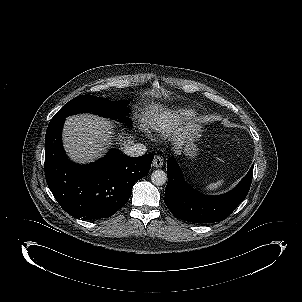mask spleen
Returning <instances> with one entry per match:
<instances>
[{
    "mask_svg": "<svg viewBox=\"0 0 302 302\" xmlns=\"http://www.w3.org/2000/svg\"><path fill=\"white\" fill-rule=\"evenodd\" d=\"M223 183H224L223 180H218L217 182L210 183L209 185H207L204 190L207 192L214 191V190L218 189L220 186H222Z\"/></svg>",
    "mask_w": 302,
    "mask_h": 302,
    "instance_id": "obj_1",
    "label": "spleen"
}]
</instances>
